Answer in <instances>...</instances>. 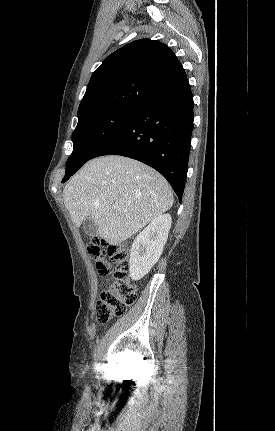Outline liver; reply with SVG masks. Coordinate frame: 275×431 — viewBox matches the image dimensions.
<instances>
[{"label":"liver","mask_w":275,"mask_h":431,"mask_svg":"<svg viewBox=\"0 0 275 431\" xmlns=\"http://www.w3.org/2000/svg\"><path fill=\"white\" fill-rule=\"evenodd\" d=\"M63 197L76 227L91 216L101 238L113 246L169 210L174 201L161 174L119 155L87 162L65 186Z\"/></svg>","instance_id":"1"}]
</instances>
